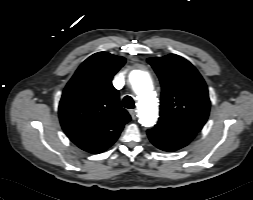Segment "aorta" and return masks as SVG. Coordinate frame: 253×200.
<instances>
[{"label": "aorta", "instance_id": "obj_1", "mask_svg": "<svg viewBox=\"0 0 253 200\" xmlns=\"http://www.w3.org/2000/svg\"><path fill=\"white\" fill-rule=\"evenodd\" d=\"M130 82L137 96L139 122L144 127H152L158 119V99L150 74L145 70H134Z\"/></svg>", "mask_w": 253, "mask_h": 200}]
</instances>
